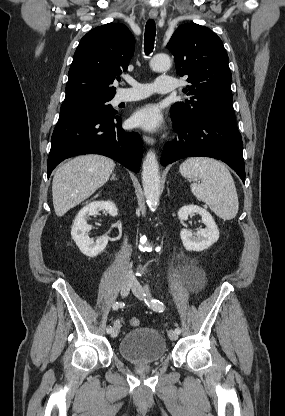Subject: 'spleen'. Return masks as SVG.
Here are the masks:
<instances>
[{"instance_id":"1","label":"spleen","mask_w":285,"mask_h":416,"mask_svg":"<svg viewBox=\"0 0 285 416\" xmlns=\"http://www.w3.org/2000/svg\"><path fill=\"white\" fill-rule=\"evenodd\" d=\"M179 172L183 178H202L201 184H191V192L216 216L222 220H233L237 216L238 196L234 180L224 164L212 158H188L181 164Z\"/></svg>"}]
</instances>
